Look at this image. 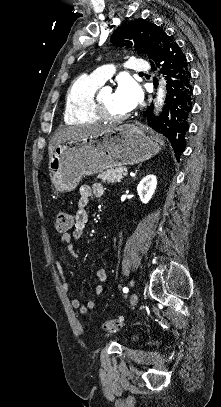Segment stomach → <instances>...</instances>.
<instances>
[{
    "instance_id": "1",
    "label": "stomach",
    "mask_w": 221,
    "mask_h": 407,
    "mask_svg": "<svg viewBox=\"0 0 221 407\" xmlns=\"http://www.w3.org/2000/svg\"><path fill=\"white\" fill-rule=\"evenodd\" d=\"M164 140L143 125L125 124L94 136L59 144L49 157V176L61 193L74 190L84 176L133 165L156 155Z\"/></svg>"
}]
</instances>
